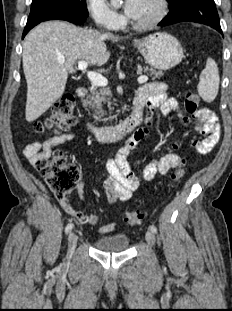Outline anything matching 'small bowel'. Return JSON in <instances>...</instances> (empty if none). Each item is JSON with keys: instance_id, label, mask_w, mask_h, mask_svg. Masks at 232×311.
<instances>
[{"instance_id": "obj_1", "label": "small bowel", "mask_w": 232, "mask_h": 311, "mask_svg": "<svg viewBox=\"0 0 232 311\" xmlns=\"http://www.w3.org/2000/svg\"><path fill=\"white\" fill-rule=\"evenodd\" d=\"M137 97L144 102L146 108V126L137 129L121 147L117 154L107 160L105 164L107 176L103 182V188L109 203L118 201L124 202L131 198L138 189L140 180L131 168L127 158L138 145L148 136L151 119L156 110L163 116L177 113L179 120L185 125H192L194 130L204 136L200 140H192V145L196 151L205 155L209 153L217 144L220 135V126L216 115L202 108L191 117L188 116L179 106L178 101L167 94V87L163 83L151 82L142 86ZM143 107V108H144ZM76 138L74 133H63L56 135L45 142L34 141L23 149V155L35 167L36 161L40 157H48L52 149L71 142ZM178 147L177 141L170 144V149ZM183 164V158L176 153H168L158 160L149 162L142 171V178L146 181L152 180L156 175H166L172 169ZM84 181L82 180L77 188L78 196L84 200ZM57 200L62 209L79 224L97 225L100 217L97 214H84L75 209L66 196H57ZM115 222L107 223L99 228L102 234L114 230Z\"/></svg>"}]
</instances>
